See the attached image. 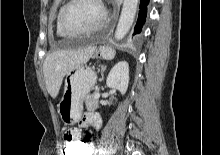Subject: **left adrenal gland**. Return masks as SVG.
<instances>
[{
  "mask_svg": "<svg viewBox=\"0 0 220 155\" xmlns=\"http://www.w3.org/2000/svg\"><path fill=\"white\" fill-rule=\"evenodd\" d=\"M105 69H106V66L102 65L101 66V79H100V81H103V79H104V71H105Z\"/></svg>",
  "mask_w": 220,
  "mask_h": 155,
  "instance_id": "1",
  "label": "left adrenal gland"
}]
</instances>
